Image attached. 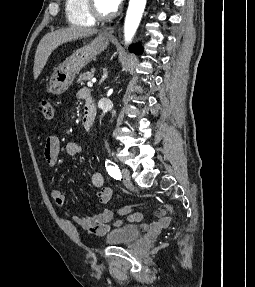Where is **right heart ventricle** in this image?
Returning a JSON list of instances; mask_svg holds the SVG:
<instances>
[{
	"mask_svg": "<svg viewBox=\"0 0 255 287\" xmlns=\"http://www.w3.org/2000/svg\"><path fill=\"white\" fill-rule=\"evenodd\" d=\"M80 33H87V32H80ZM87 39H96V38H87Z\"/></svg>",
	"mask_w": 255,
	"mask_h": 287,
	"instance_id": "1",
	"label": "right heart ventricle"
}]
</instances>
